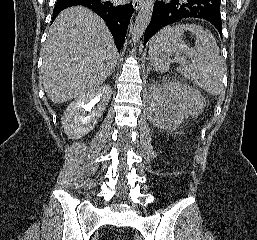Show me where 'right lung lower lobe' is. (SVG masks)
<instances>
[{
	"instance_id": "98d812e1",
	"label": "right lung lower lobe",
	"mask_w": 257,
	"mask_h": 240,
	"mask_svg": "<svg viewBox=\"0 0 257 240\" xmlns=\"http://www.w3.org/2000/svg\"><path fill=\"white\" fill-rule=\"evenodd\" d=\"M86 6L97 13L108 25L117 49L120 51L125 41L126 31L133 14L132 4H117L109 0H57L53 18L70 6Z\"/></svg>"
}]
</instances>
